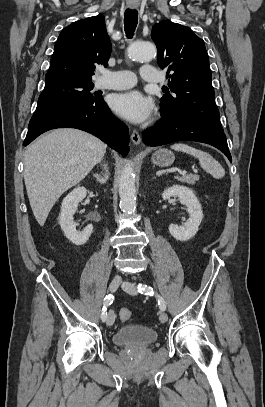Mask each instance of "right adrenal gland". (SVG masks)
Listing matches in <instances>:
<instances>
[{"label":"right adrenal gland","instance_id":"2a0ac1e0","mask_svg":"<svg viewBox=\"0 0 265 407\" xmlns=\"http://www.w3.org/2000/svg\"><path fill=\"white\" fill-rule=\"evenodd\" d=\"M93 176L96 178V180L100 183V184H105L106 181L109 178V172H108V168L106 165H104V173L102 174H98V173H94Z\"/></svg>","mask_w":265,"mask_h":407}]
</instances>
